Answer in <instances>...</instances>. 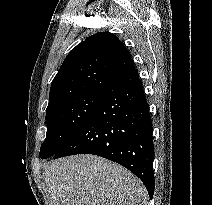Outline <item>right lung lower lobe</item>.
<instances>
[{
	"label": "right lung lower lobe",
	"mask_w": 212,
	"mask_h": 205,
	"mask_svg": "<svg viewBox=\"0 0 212 205\" xmlns=\"http://www.w3.org/2000/svg\"><path fill=\"white\" fill-rule=\"evenodd\" d=\"M152 121L142 82L132 68L103 92L91 115L53 156L95 154L129 169L154 193Z\"/></svg>",
	"instance_id": "obj_1"
}]
</instances>
